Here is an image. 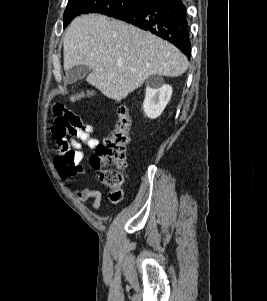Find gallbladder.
<instances>
[{
	"label": "gallbladder",
	"instance_id": "1",
	"mask_svg": "<svg viewBox=\"0 0 267 301\" xmlns=\"http://www.w3.org/2000/svg\"><path fill=\"white\" fill-rule=\"evenodd\" d=\"M92 69L85 65H77L65 72L64 82L66 84H74L84 79Z\"/></svg>",
	"mask_w": 267,
	"mask_h": 301
}]
</instances>
